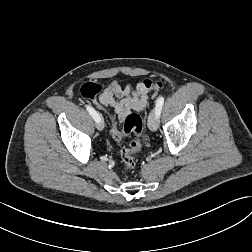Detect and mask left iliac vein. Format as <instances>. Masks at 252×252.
<instances>
[{
    "label": "left iliac vein",
    "instance_id": "1",
    "mask_svg": "<svg viewBox=\"0 0 252 252\" xmlns=\"http://www.w3.org/2000/svg\"><path fill=\"white\" fill-rule=\"evenodd\" d=\"M148 127L151 131H156L159 127L158 116L156 114V110H152L149 115Z\"/></svg>",
    "mask_w": 252,
    "mask_h": 252
}]
</instances>
